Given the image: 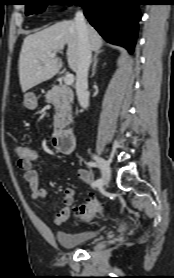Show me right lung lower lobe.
<instances>
[{"instance_id":"1","label":"right lung lower lobe","mask_w":174,"mask_h":278,"mask_svg":"<svg viewBox=\"0 0 174 278\" xmlns=\"http://www.w3.org/2000/svg\"><path fill=\"white\" fill-rule=\"evenodd\" d=\"M139 0H78L90 24L109 43L125 47L130 53L137 38L141 14Z\"/></svg>"}]
</instances>
